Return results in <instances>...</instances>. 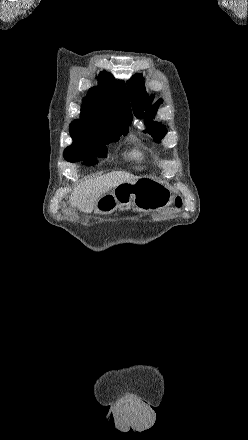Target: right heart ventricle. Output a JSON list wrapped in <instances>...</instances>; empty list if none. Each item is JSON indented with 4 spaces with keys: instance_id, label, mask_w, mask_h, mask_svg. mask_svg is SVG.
I'll return each mask as SVG.
<instances>
[{
    "instance_id": "right-heart-ventricle-1",
    "label": "right heart ventricle",
    "mask_w": 248,
    "mask_h": 440,
    "mask_svg": "<svg viewBox=\"0 0 248 440\" xmlns=\"http://www.w3.org/2000/svg\"><path fill=\"white\" fill-rule=\"evenodd\" d=\"M130 158L137 163H141L143 161V155L138 151H133L130 153Z\"/></svg>"
}]
</instances>
